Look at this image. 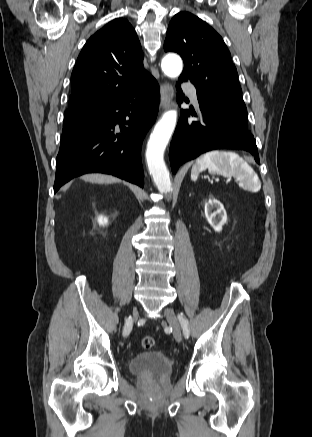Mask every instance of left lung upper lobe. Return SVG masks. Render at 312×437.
<instances>
[{
    "label": "left lung upper lobe",
    "mask_w": 312,
    "mask_h": 437,
    "mask_svg": "<svg viewBox=\"0 0 312 437\" xmlns=\"http://www.w3.org/2000/svg\"><path fill=\"white\" fill-rule=\"evenodd\" d=\"M164 50L181 55L184 69L179 80L190 79L198 99L224 107L248 129L237 70L223 39L213 28L189 12H180L168 26Z\"/></svg>",
    "instance_id": "1"
}]
</instances>
